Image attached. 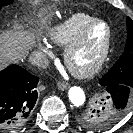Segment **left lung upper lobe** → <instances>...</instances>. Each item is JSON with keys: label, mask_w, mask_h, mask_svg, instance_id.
<instances>
[{"label": "left lung upper lobe", "mask_w": 133, "mask_h": 133, "mask_svg": "<svg viewBox=\"0 0 133 133\" xmlns=\"http://www.w3.org/2000/svg\"><path fill=\"white\" fill-rule=\"evenodd\" d=\"M126 26L127 41L124 53L112 69L100 79L102 86L122 84L133 88V21L129 17L126 19ZM99 112L102 114L99 115ZM124 113L109 110L105 99H101L94 110L88 109L79 112L77 122L85 129L99 131L114 124Z\"/></svg>", "instance_id": "5c2ea615"}]
</instances>
